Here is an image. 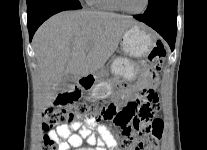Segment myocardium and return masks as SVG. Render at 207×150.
<instances>
[{
	"instance_id": "f54148a6",
	"label": "myocardium",
	"mask_w": 207,
	"mask_h": 150,
	"mask_svg": "<svg viewBox=\"0 0 207 150\" xmlns=\"http://www.w3.org/2000/svg\"><path fill=\"white\" fill-rule=\"evenodd\" d=\"M114 3L116 4V6L126 12V13H129V14H133V15H139V14H142L143 12L146 11V9L148 8L149 6V3H150V0H145V4L144 6L140 9V10H136V11H132V10H128L122 3V0H113Z\"/></svg>"
}]
</instances>
